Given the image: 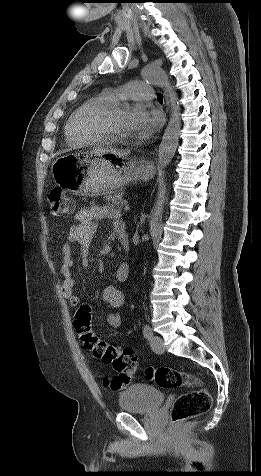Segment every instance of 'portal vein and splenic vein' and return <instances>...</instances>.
<instances>
[{"mask_svg":"<svg viewBox=\"0 0 261 476\" xmlns=\"http://www.w3.org/2000/svg\"><path fill=\"white\" fill-rule=\"evenodd\" d=\"M130 210V206L128 205V203L125 201L124 202V211H129Z\"/></svg>","mask_w":261,"mask_h":476,"instance_id":"obj_1","label":"portal vein and splenic vein"}]
</instances>
